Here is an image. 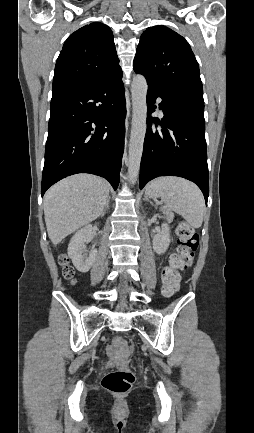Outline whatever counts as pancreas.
I'll return each mask as SVG.
<instances>
[{
    "label": "pancreas",
    "instance_id": "1",
    "mask_svg": "<svg viewBox=\"0 0 254 433\" xmlns=\"http://www.w3.org/2000/svg\"><path fill=\"white\" fill-rule=\"evenodd\" d=\"M161 210H162V212L165 214V216H166L167 219L170 220V219L172 218L173 213H172V210H171L169 207H167V206H163V207L161 208Z\"/></svg>",
    "mask_w": 254,
    "mask_h": 433
}]
</instances>
